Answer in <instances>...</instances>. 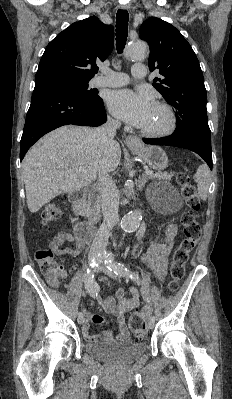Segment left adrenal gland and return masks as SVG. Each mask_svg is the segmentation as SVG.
<instances>
[{"mask_svg":"<svg viewBox=\"0 0 232 399\" xmlns=\"http://www.w3.org/2000/svg\"><path fill=\"white\" fill-rule=\"evenodd\" d=\"M144 184H146V182H145V178H143V176H142V178H139V180H138L137 188H139V190H142V188H144Z\"/></svg>","mask_w":232,"mask_h":399,"instance_id":"a2214340","label":"left adrenal gland"}]
</instances>
